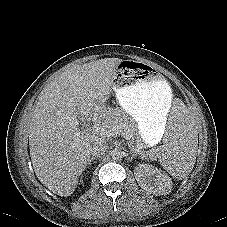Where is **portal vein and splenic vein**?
Wrapping results in <instances>:
<instances>
[{
  "label": "portal vein and splenic vein",
  "mask_w": 227,
  "mask_h": 227,
  "mask_svg": "<svg viewBox=\"0 0 227 227\" xmlns=\"http://www.w3.org/2000/svg\"><path fill=\"white\" fill-rule=\"evenodd\" d=\"M89 129L94 134L102 136V137H111V136H115L118 134L117 132L104 127L102 124H94V125L90 126ZM137 152H140V151L137 150Z\"/></svg>",
  "instance_id": "obj_1"
}]
</instances>
